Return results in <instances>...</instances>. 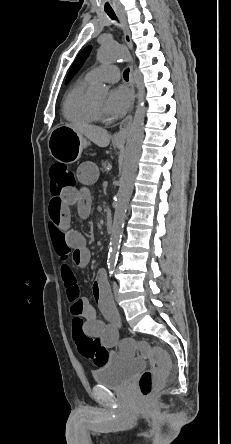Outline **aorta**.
I'll list each match as a JSON object with an SVG mask.
<instances>
[{"instance_id":"aorta-1","label":"aorta","mask_w":231,"mask_h":444,"mask_svg":"<svg viewBox=\"0 0 231 444\" xmlns=\"http://www.w3.org/2000/svg\"><path fill=\"white\" fill-rule=\"evenodd\" d=\"M97 59L103 64L112 63L118 60L132 61V57L128 51L123 46L113 41H106L101 44L97 53ZM135 84L138 89V102L127 137L123 167L119 181V190L115 201V213L108 254L109 264H114L117 259V250L122 238L127 207L133 191L135 174L144 137L145 90L142 77L138 71L135 73ZM107 93L108 89L104 85H97L94 87V94L99 98L105 97Z\"/></svg>"}]
</instances>
